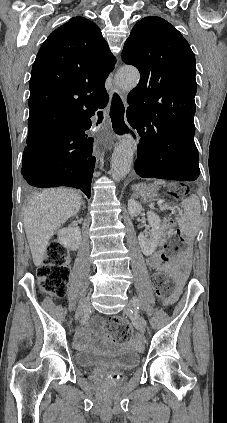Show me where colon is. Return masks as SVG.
<instances>
[{"label":"colon","instance_id":"obj_1","mask_svg":"<svg viewBox=\"0 0 227 423\" xmlns=\"http://www.w3.org/2000/svg\"><path fill=\"white\" fill-rule=\"evenodd\" d=\"M182 192L170 191L172 198H178ZM165 225L168 229L173 228L174 222L167 218ZM185 249V242L179 230L171 233L168 242L161 254L163 261H169ZM39 283L44 292L53 297L64 296L70 280V256L68 251L60 244L54 243L47 251L45 260L38 270ZM152 284L158 297L169 298L173 293V282L169 276L162 272L152 275ZM113 329V335L127 339L132 334V328L124 319L115 317L109 321Z\"/></svg>","mask_w":227,"mask_h":423}]
</instances>
